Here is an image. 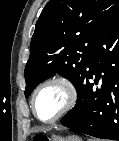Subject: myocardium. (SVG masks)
<instances>
[{
    "instance_id": "obj_1",
    "label": "myocardium",
    "mask_w": 119,
    "mask_h": 141,
    "mask_svg": "<svg viewBox=\"0 0 119 141\" xmlns=\"http://www.w3.org/2000/svg\"><path fill=\"white\" fill-rule=\"evenodd\" d=\"M50 85H59L60 87H62V89L65 92V102L61 110L55 116H53L50 119L43 120L36 113L35 103H36V98L38 94L40 93V91ZM76 102H77V90L74 83L65 76H55L45 80L35 89L31 98V109L34 116L40 122L53 123L61 119L62 117H64L66 114H68L74 108Z\"/></svg>"
}]
</instances>
